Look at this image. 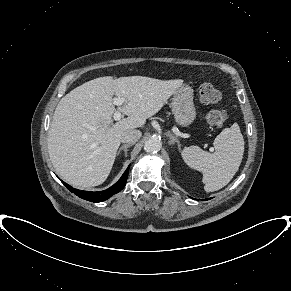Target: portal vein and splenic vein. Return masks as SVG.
Segmentation results:
<instances>
[{"instance_id": "portal-vein-and-splenic-vein-1", "label": "portal vein and splenic vein", "mask_w": 291, "mask_h": 291, "mask_svg": "<svg viewBox=\"0 0 291 291\" xmlns=\"http://www.w3.org/2000/svg\"><path fill=\"white\" fill-rule=\"evenodd\" d=\"M124 98H120V97H114L113 98V104L114 105H117V106H121L123 103H124ZM114 120L118 121L121 119L122 115H121V112L120 111H115L114 113ZM92 130L95 129V127H92L91 128Z\"/></svg>"}]
</instances>
